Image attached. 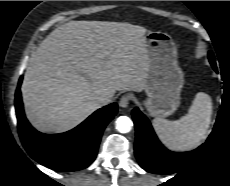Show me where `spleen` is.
I'll use <instances>...</instances> for the list:
<instances>
[{
	"mask_svg": "<svg viewBox=\"0 0 230 186\" xmlns=\"http://www.w3.org/2000/svg\"><path fill=\"white\" fill-rule=\"evenodd\" d=\"M212 115L211 97L196 94L186 115L176 121L155 118L153 126L161 141L174 150H191L199 146L207 136Z\"/></svg>",
	"mask_w": 230,
	"mask_h": 186,
	"instance_id": "spleen-1",
	"label": "spleen"
}]
</instances>
